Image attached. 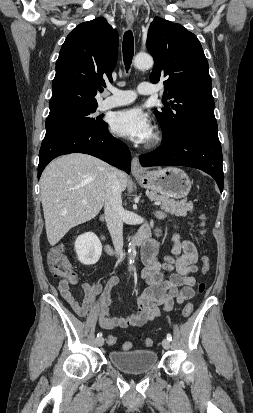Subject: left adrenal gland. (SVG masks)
I'll list each match as a JSON object with an SVG mask.
<instances>
[{"mask_svg":"<svg viewBox=\"0 0 253 413\" xmlns=\"http://www.w3.org/2000/svg\"><path fill=\"white\" fill-rule=\"evenodd\" d=\"M155 216H156L157 218L161 219V218L164 217V214H163L162 212H160V211H156V212H155Z\"/></svg>","mask_w":253,"mask_h":413,"instance_id":"obj_1","label":"left adrenal gland"}]
</instances>
